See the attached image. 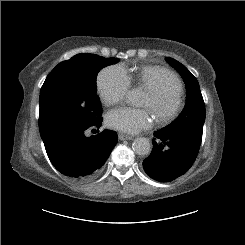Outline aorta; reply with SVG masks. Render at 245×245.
Segmentation results:
<instances>
[{
  "label": "aorta",
  "instance_id": "obj_1",
  "mask_svg": "<svg viewBox=\"0 0 245 245\" xmlns=\"http://www.w3.org/2000/svg\"><path fill=\"white\" fill-rule=\"evenodd\" d=\"M127 100L135 106L142 104V94L139 90L133 89L127 93ZM132 149L137 155L145 156L151 152V143L144 137L136 138L132 144Z\"/></svg>",
  "mask_w": 245,
  "mask_h": 245
}]
</instances>
